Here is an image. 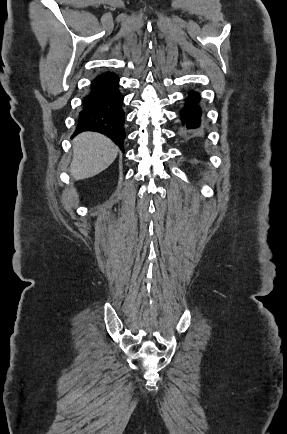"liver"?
Instances as JSON below:
<instances>
[{"label":"liver","mask_w":287,"mask_h":434,"mask_svg":"<svg viewBox=\"0 0 287 434\" xmlns=\"http://www.w3.org/2000/svg\"><path fill=\"white\" fill-rule=\"evenodd\" d=\"M118 147L99 133L85 132L73 140L70 173L75 180L93 177L108 168L116 159Z\"/></svg>","instance_id":"obj_1"}]
</instances>
